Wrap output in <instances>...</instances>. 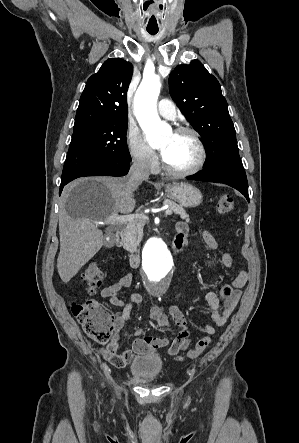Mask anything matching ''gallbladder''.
<instances>
[{
	"label": "gallbladder",
	"mask_w": 299,
	"mask_h": 443,
	"mask_svg": "<svg viewBox=\"0 0 299 443\" xmlns=\"http://www.w3.org/2000/svg\"><path fill=\"white\" fill-rule=\"evenodd\" d=\"M105 245H106V246H109V245H110V243H108V242H105Z\"/></svg>",
	"instance_id": "obj_1"
}]
</instances>
